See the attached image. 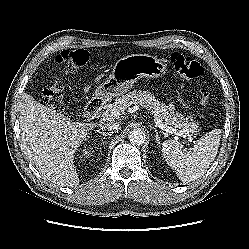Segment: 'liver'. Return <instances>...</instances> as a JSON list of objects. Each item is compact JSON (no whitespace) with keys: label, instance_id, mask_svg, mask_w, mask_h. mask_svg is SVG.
<instances>
[{"label":"liver","instance_id":"1","mask_svg":"<svg viewBox=\"0 0 249 249\" xmlns=\"http://www.w3.org/2000/svg\"><path fill=\"white\" fill-rule=\"evenodd\" d=\"M19 124L21 146L39 173L54 184L77 186L74 154L95 124L72 122L27 93L20 98Z\"/></svg>","mask_w":249,"mask_h":249}]
</instances>
